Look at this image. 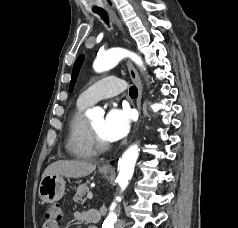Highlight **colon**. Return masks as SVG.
<instances>
[{"mask_svg": "<svg viewBox=\"0 0 238 228\" xmlns=\"http://www.w3.org/2000/svg\"><path fill=\"white\" fill-rule=\"evenodd\" d=\"M61 208L59 204H52L46 207L41 215L42 226L58 222L61 218Z\"/></svg>", "mask_w": 238, "mask_h": 228, "instance_id": "obj_1", "label": "colon"}]
</instances>
